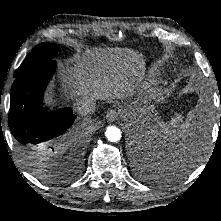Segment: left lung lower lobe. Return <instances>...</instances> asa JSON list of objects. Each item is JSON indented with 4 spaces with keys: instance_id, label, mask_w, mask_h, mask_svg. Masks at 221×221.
<instances>
[{
    "instance_id": "obj_1",
    "label": "left lung lower lobe",
    "mask_w": 221,
    "mask_h": 221,
    "mask_svg": "<svg viewBox=\"0 0 221 221\" xmlns=\"http://www.w3.org/2000/svg\"><path fill=\"white\" fill-rule=\"evenodd\" d=\"M139 141H141L140 148L143 149L144 155L149 158L151 168L157 171L156 175L159 178L176 177L181 173V166L186 165L190 161L193 143L188 141L179 143L173 146V148L166 150L165 156L168 158L169 166L172 165V167H162L159 164L161 160L159 159L160 156L157 158L158 148H155L156 142L152 136L140 137ZM144 176L151 177L150 174H144Z\"/></svg>"
}]
</instances>
